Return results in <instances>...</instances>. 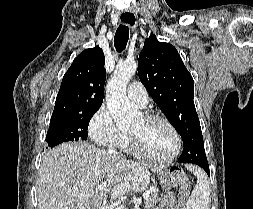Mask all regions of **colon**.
<instances>
[{
	"instance_id": "1",
	"label": "colon",
	"mask_w": 253,
	"mask_h": 209,
	"mask_svg": "<svg viewBox=\"0 0 253 209\" xmlns=\"http://www.w3.org/2000/svg\"><path fill=\"white\" fill-rule=\"evenodd\" d=\"M168 183L172 186H180L179 190V209H185L184 203L187 200L190 193V183L187 175L180 170H170Z\"/></svg>"
}]
</instances>
